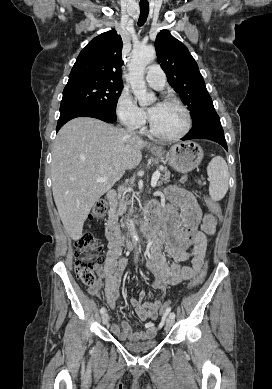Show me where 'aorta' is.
Returning a JSON list of instances; mask_svg holds the SVG:
<instances>
[{
    "label": "aorta",
    "instance_id": "1",
    "mask_svg": "<svg viewBox=\"0 0 272 389\" xmlns=\"http://www.w3.org/2000/svg\"><path fill=\"white\" fill-rule=\"evenodd\" d=\"M155 57L156 52L152 46L135 47L132 51L128 79L132 91L140 105H147L155 101V95L147 91L146 83L144 81V70ZM128 230L133 240L138 241L139 237L132 220L128 221Z\"/></svg>",
    "mask_w": 272,
    "mask_h": 389
}]
</instances>
